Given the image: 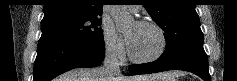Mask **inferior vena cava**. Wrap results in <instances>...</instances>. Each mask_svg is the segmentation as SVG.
Here are the masks:
<instances>
[{"mask_svg":"<svg viewBox=\"0 0 237 81\" xmlns=\"http://www.w3.org/2000/svg\"><path fill=\"white\" fill-rule=\"evenodd\" d=\"M102 75L106 78L105 80H114L121 75L118 51L115 47H106Z\"/></svg>","mask_w":237,"mask_h":81,"instance_id":"obj_1","label":"inferior vena cava"}]
</instances>
